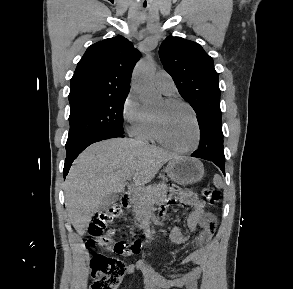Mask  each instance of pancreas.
Masks as SVG:
<instances>
[{"label": "pancreas", "instance_id": "obj_1", "mask_svg": "<svg viewBox=\"0 0 293 289\" xmlns=\"http://www.w3.org/2000/svg\"><path fill=\"white\" fill-rule=\"evenodd\" d=\"M167 185L155 184L144 188V190L136 191L131 199L132 211L135 218L143 226L147 220V211L157 201H162L166 198Z\"/></svg>", "mask_w": 293, "mask_h": 289}]
</instances>
